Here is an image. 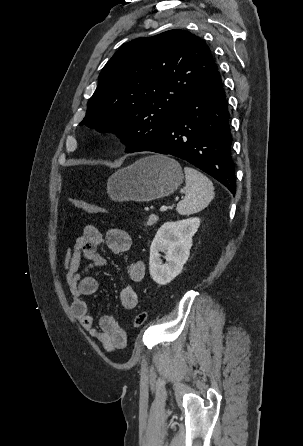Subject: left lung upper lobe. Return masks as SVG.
<instances>
[{
  "label": "left lung upper lobe",
  "instance_id": "5c2ea615",
  "mask_svg": "<svg viewBox=\"0 0 303 446\" xmlns=\"http://www.w3.org/2000/svg\"><path fill=\"white\" fill-rule=\"evenodd\" d=\"M217 69L210 48L184 30L125 44L102 69L80 125L115 132L126 152H135L171 124Z\"/></svg>",
  "mask_w": 303,
  "mask_h": 446
}]
</instances>
